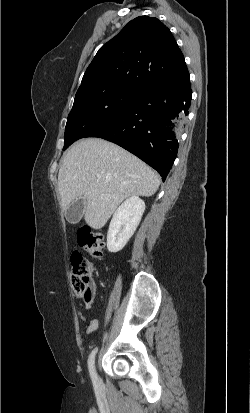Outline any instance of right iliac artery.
<instances>
[{"mask_svg":"<svg viewBox=\"0 0 250 413\" xmlns=\"http://www.w3.org/2000/svg\"><path fill=\"white\" fill-rule=\"evenodd\" d=\"M96 352H97V348H94L91 354L89 355V360H88V368H89L90 376H91L93 383H97L98 381V377H97L95 366H94Z\"/></svg>","mask_w":250,"mask_h":413,"instance_id":"right-iliac-artery-1","label":"right iliac artery"}]
</instances>
